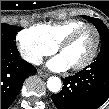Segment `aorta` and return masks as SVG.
Masks as SVG:
<instances>
[{"instance_id": "1", "label": "aorta", "mask_w": 109, "mask_h": 109, "mask_svg": "<svg viewBox=\"0 0 109 109\" xmlns=\"http://www.w3.org/2000/svg\"><path fill=\"white\" fill-rule=\"evenodd\" d=\"M62 87V82L60 78L56 76H52L47 80V88L54 93H57L60 91Z\"/></svg>"}]
</instances>
